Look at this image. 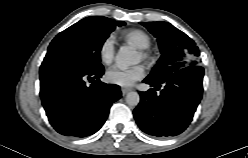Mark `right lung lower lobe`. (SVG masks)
Listing matches in <instances>:
<instances>
[{"instance_id":"1","label":"right lung lower lobe","mask_w":248,"mask_h":158,"mask_svg":"<svg viewBox=\"0 0 248 158\" xmlns=\"http://www.w3.org/2000/svg\"><path fill=\"white\" fill-rule=\"evenodd\" d=\"M104 68L83 69L70 64L42 63L40 96L48 120L65 136L85 137L106 121L120 87L100 81ZM88 79L92 84L86 85Z\"/></svg>"}]
</instances>
